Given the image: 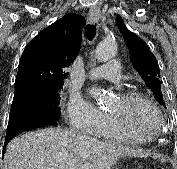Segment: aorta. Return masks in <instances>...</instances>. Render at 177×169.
I'll return each mask as SVG.
<instances>
[{
	"label": "aorta",
	"mask_w": 177,
	"mask_h": 169,
	"mask_svg": "<svg viewBox=\"0 0 177 169\" xmlns=\"http://www.w3.org/2000/svg\"><path fill=\"white\" fill-rule=\"evenodd\" d=\"M117 46L113 40H105L98 44L95 49V58L99 62H106L116 55ZM93 95L100 104H106L110 98L103 94L100 89H94Z\"/></svg>",
	"instance_id": "obj_1"
}]
</instances>
